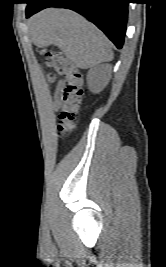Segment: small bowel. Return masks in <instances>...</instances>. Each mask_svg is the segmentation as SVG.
<instances>
[{
    "label": "small bowel",
    "mask_w": 166,
    "mask_h": 267,
    "mask_svg": "<svg viewBox=\"0 0 166 267\" xmlns=\"http://www.w3.org/2000/svg\"><path fill=\"white\" fill-rule=\"evenodd\" d=\"M63 88H64V82H63V81H60V82L57 84L56 92H57V93L61 92Z\"/></svg>",
    "instance_id": "obj_1"
}]
</instances>
